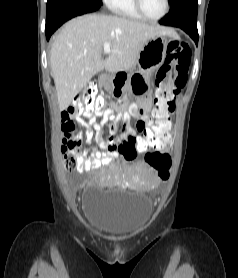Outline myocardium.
I'll list each match as a JSON object with an SVG mask.
<instances>
[{"instance_id": "1", "label": "myocardium", "mask_w": 238, "mask_h": 278, "mask_svg": "<svg viewBox=\"0 0 238 278\" xmlns=\"http://www.w3.org/2000/svg\"><path fill=\"white\" fill-rule=\"evenodd\" d=\"M133 1H134L136 10L142 16V18L146 19L148 21H151V22H158V21L162 20L163 18H165L167 16V14L169 13V10H170V1L165 0V10H164L163 14L157 18H152V17L148 16L146 14V12L144 11V8L142 5V0H133Z\"/></svg>"}]
</instances>
